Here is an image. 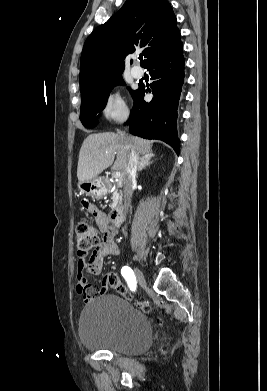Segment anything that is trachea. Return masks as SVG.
Here are the masks:
<instances>
[{
	"mask_svg": "<svg viewBox=\"0 0 267 391\" xmlns=\"http://www.w3.org/2000/svg\"><path fill=\"white\" fill-rule=\"evenodd\" d=\"M140 60H143V57H140Z\"/></svg>",
	"mask_w": 267,
	"mask_h": 391,
	"instance_id": "obj_1",
	"label": "trachea"
}]
</instances>
